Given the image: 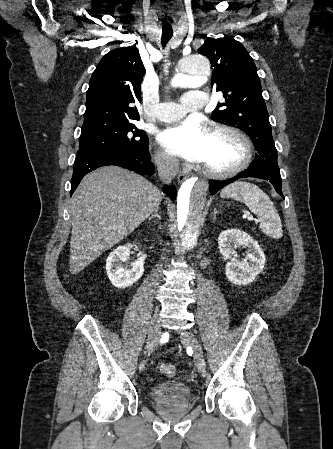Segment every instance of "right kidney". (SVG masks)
<instances>
[{"label":"right kidney","instance_id":"ca27d5eb","mask_svg":"<svg viewBox=\"0 0 333 449\" xmlns=\"http://www.w3.org/2000/svg\"><path fill=\"white\" fill-rule=\"evenodd\" d=\"M132 245L119 246L113 250L106 260V272L111 283L117 288H126L136 283L144 273L146 255L140 253L137 260L127 269L122 262H126Z\"/></svg>","mask_w":333,"mask_h":449}]
</instances>
